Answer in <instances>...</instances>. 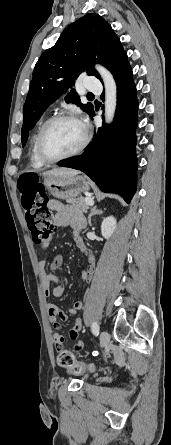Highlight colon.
I'll return each instance as SVG.
<instances>
[{
    "label": "colon",
    "instance_id": "5ec220e1",
    "mask_svg": "<svg viewBox=\"0 0 171 445\" xmlns=\"http://www.w3.org/2000/svg\"><path fill=\"white\" fill-rule=\"evenodd\" d=\"M20 203L25 214L33 241L48 247L56 236V227L52 223V214L48 207V197L44 185L34 175L21 177L17 183ZM57 362L71 373L80 374L84 370H93L94 366H86L76 361L73 353L62 346L57 347Z\"/></svg>",
    "mask_w": 171,
    "mask_h": 445
}]
</instances>
